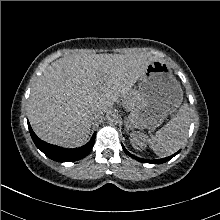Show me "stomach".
Segmentation results:
<instances>
[{
	"instance_id": "obj_1",
	"label": "stomach",
	"mask_w": 220,
	"mask_h": 220,
	"mask_svg": "<svg viewBox=\"0 0 220 220\" xmlns=\"http://www.w3.org/2000/svg\"><path fill=\"white\" fill-rule=\"evenodd\" d=\"M140 100L128 108L131 127L154 129L182 103L183 91L169 66L160 60L149 63L140 77Z\"/></svg>"
}]
</instances>
